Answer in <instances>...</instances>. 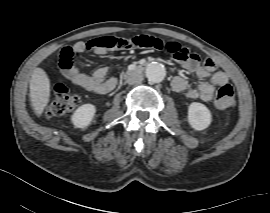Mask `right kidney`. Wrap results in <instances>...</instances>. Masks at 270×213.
<instances>
[{
	"mask_svg": "<svg viewBox=\"0 0 270 213\" xmlns=\"http://www.w3.org/2000/svg\"><path fill=\"white\" fill-rule=\"evenodd\" d=\"M96 112V108L92 104H84L76 109L74 114L72 115V123L78 128L87 127Z\"/></svg>",
	"mask_w": 270,
	"mask_h": 213,
	"instance_id": "right-kidney-1",
	"label": "right kidney"
}]
</instances>
